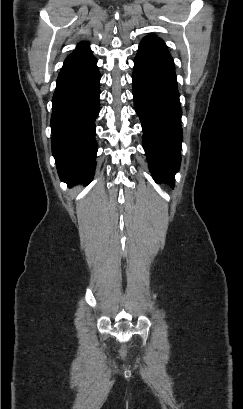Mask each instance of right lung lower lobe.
<instances>
[{
  "instance_id": "obj_1",
  "label": "right lung lower lobe",
  "mask_w": 243,
  "mask_h": 409,
  "mask_svg": "<svg viewBox=\"0 0 243 409\" xmlns=\"http://www.w3.org/2000/svg\"><path fill=\"white\" fill-rule=\"evenodd\" d=\"M88 46L64 61L52 99V154L62 181L89 183L96 166L100 73Z\"/></svg>"
}]
</instances>
